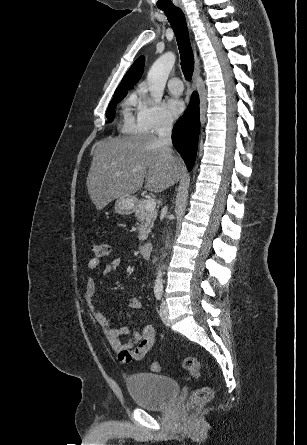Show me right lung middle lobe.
<instances>
[{
  "mask_svg": "<svg viewBox=\"0 0 307 445\" xmlns=\"http://www.w3.org/2000/svg\"><path fill=\"white\" fill-rule=\"evenodd\" d=\"M119 100H121V99H119ZM117 102H118V100L111 102L108 107L106 116L110 121H113V119H114V109H115Z\"/></svg>",
  "mask_w": 307,
  "mask_h": 445,
  "instance_id": "right-lung-middle-lobe-1",
  "label": "right lung middle lobe"
}]
</instances>
